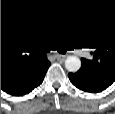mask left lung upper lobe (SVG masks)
I'll return each mask as SVG.
<instances>
[{"label":"left lung upper lobe","instance_id":"left-lung-upper-lobe-1","mask_svg":"<svg viewBox=\"0 0 115 114\" xmlns=\"http://www.w3.org/2000/svg\"><path fill=\"white\" fill-rule=\"evenodd\" d=\"M92 49L89 59L81 58L79 72L100 75L115 81V23L102 28L85 44Z\"/></svg>","mask_w":115,"mask_h":114}]
</instances>
